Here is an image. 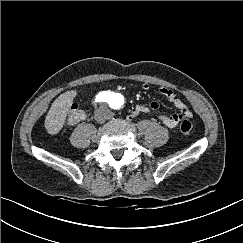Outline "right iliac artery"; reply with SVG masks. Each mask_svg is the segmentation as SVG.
Listing matches in <instances>:
<instances>
[{
    "mask_svg": "<svg viewBox=\"0 0 243 243\" xmlns=\"http://www.w3.org/2000/svg\"><path fill=\"white\" fill-rule=\"evenodd\" d=\"M109 100H110V93L105 91L99 93L95 98V102H108Z\"/></svg>",
    "mask_w": 243,
    "mask_h": 243,
    "instance_id": "1",
    "label": "right iliac artery"
}]
</instances>
